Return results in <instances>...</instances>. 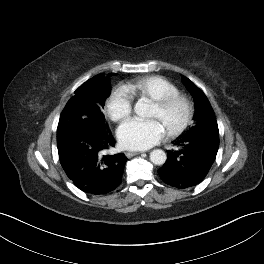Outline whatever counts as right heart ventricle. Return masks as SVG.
Masks as SVG:
<instances>
[{"label": "right heart ventricle", "mask_w": 264, "mask_h": 264, "mask_svg": "<svg viewBox=\"0 0 264 264\" xmlns=\"http://www.w3.org/2000/svg\"><path fill=\"white\" fill-rule=\"evenodd\" d=\"M126 88L132 97L147 98L152 101L178 93L177 86L162 76L140 77L129 82Z\"/></svg>", "instance_id": "1"}]
</instances>
